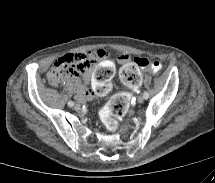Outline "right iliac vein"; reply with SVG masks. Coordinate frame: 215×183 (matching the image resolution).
I'll use <instances>...</instances> for the list:
<instances>
[{"instance_id": "obj_1", "label": "right iliac vein", "mask_w": 215, "mask_h": 183, "mask_svg": "<svg viewBox=\"0 0 215 183\" xmlns=\"http://www.w3.org/2000/svg\"><path fill=\"white\" fill-rule=\"evenodd\" d=\"M80 105L79 104H76L75 106H74V109L76 110V111H78V110H80Z\"/></svg>"}]
</instances>
